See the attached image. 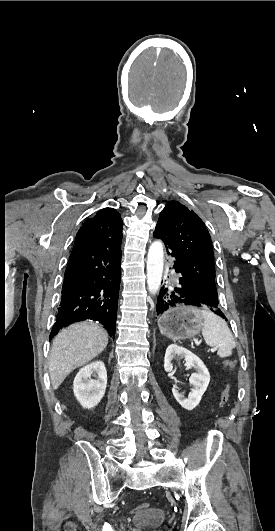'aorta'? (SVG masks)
Segmentation results:
<instances>
[{
  "instance_id": "762f6f07",
  "label": "aorta",
  "mask_w": 275,
  "mask_h": 531,
  "mask_svg": "<svg viewBox=\"0 0 275 531\" xmlns=\"http://www.w3.org/2000/svg\"><path fill=\"white\" fill-rule=\"evenodd\" d=\"M163 245L161 241L152 243L147 257V285L151 295H156L160 289L163 273Z\"/></svg>"
}]
</instances>
